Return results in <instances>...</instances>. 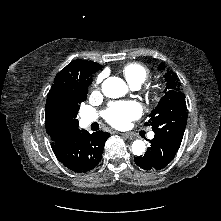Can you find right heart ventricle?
<instances>
[{"label": "right heart ventricle", "instance_id": "e07e8e85", "mask_svg": "<svg viewBox=\"0 0 221 221\" xmlns=\"http://www.w3.org/2000/svg\"><path fill=\"white\" fill-rule=\"evenodd\" d=\"M123 74L128 83L133 85H141L150 76L149 69L139 63H130L123 68Z\"/></svg>", "mask_w": 221, "mask_h": 221}]
</instances>
